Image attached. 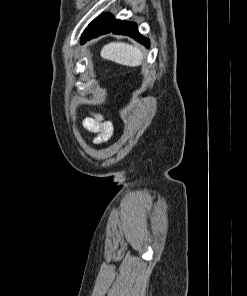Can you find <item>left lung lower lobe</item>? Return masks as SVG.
Listing matches in <instances>:
<instances>
[{"instance_id": "obj_1", "label": "left lung lower lobe", "mask_w": 247, "mask_h": 296, "mask_svg": "<svg viewBox=\"0 0 247 296\" xmlns=\"http://www.w3.org/2000/svg\"><path fill=\"white\" fill-rule=\"evenodd\" d=\"M110 32L128 35L146 47H149L148 39L144 38L138 32L135 23L116 20L111 14H102L94 19L82 34L81 43H85L87 40Z\"/></svg>"}]
</instances>
